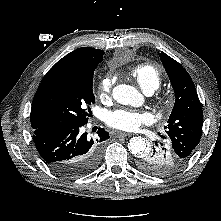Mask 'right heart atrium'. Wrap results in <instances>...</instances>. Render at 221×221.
I'll return each instance as SVG.
<instances>
[{
    "label": "right heart atrium",
    "instance_id": "1",
    "mask_svg": "<svg viewBox=\"0 0 221 221\" xmlns=\"http://www.w3.org/2000/svg\"><path fill=\"white\" fill-rule=\"evenodd\" d=\"M113 83L114 78L112 75L106 74L103 76L97 88L98 97L101 99H106L110 94Z\"/></svg>",
    "mask_w": 221,
    "mask_h": 221
}]
</instances>
